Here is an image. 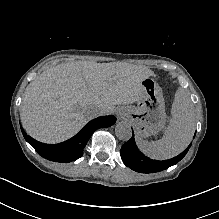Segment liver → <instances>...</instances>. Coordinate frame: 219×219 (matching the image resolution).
Returning <instances> with one entry per match:
<instances>
[{
    "instance_id": "6515ba94",
    "label": "liver",
    "mask_w": 219,
    "mask_h": 219,
    "mask_svg": "<svg viewBox=\"0 0 219 219\" xmlns=\"http://www.w3.org/2000/svg\"><path fill=\"white\" fill-rule=\"evenodd\" d=\"M153 73L126 63L70 62L48 68L25 89L20 109L24 131L45 144H59L98 114H112L115 105L138 99L140 82Z\"/></svg>"
}]
</instances>
